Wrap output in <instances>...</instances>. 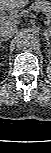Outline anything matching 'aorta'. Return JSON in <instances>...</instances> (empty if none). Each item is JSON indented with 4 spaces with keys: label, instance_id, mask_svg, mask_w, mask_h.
I'll use <instances>...</instances> for the list:
<instances>
[{
    "label": "aorta",
    "instance_id": "762f6f07",
    "mask_svg": "<svg viewBox=\"0 0 51 153\" xmlns=\"http://www.w3.org/2000/svg\"><path fill=\"white\" fill-rule=\"evenodd\" d=\"M37 43V38L34 34L29 32H23L17 39V48L22 51L32 50Z\"/></svg>",
    "mask_w": 51,
    "mask_h": 153
}]
</instances>
